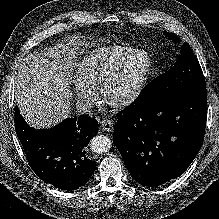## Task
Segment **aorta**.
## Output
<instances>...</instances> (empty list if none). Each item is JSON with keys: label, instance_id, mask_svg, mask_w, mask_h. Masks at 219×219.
Returning <instances> with one entry per match:
<instances>
[{"label": "aorta", "instance_id": "obj_1", "mask_svg": "<svg viewBox=\"0 0 219 219\" xmlns=\"http://www.w3.org/2000/svg\"><path fill=\"white\" fill-rule=\"evenodd\" d=\"M90 148L93 152L102 154L110 150L112 142L110 138L105 135H98L90 140Z\"/></svg>", "mask_w": 219, "mask_h": 219}]
</instances>
